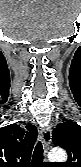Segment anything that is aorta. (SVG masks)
Returning a JSON list of instances; mask_svg holds the SVG:
<instances>
[{"mask_svg": "<svg viewBox=\"0 0 81 167\" xmlns=\"http://www.w3.org/2000/svg\"><path fill=\"white\" fill-rule=\"evenodd\" d=\"M48 158L51 162H65L67 155L63 149L54 148L49 152Z\"/></svg>", "mask_w": 81, "mask_h": 167, "instance_id": "aorta-1", "label": "aorta"}]
</instances>
